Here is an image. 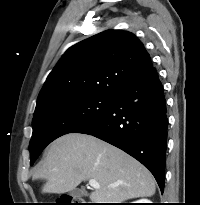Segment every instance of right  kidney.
Returning <instances> with one entry per match:
<instances>
[{"mask_svg": "<svg viewBox=\"0 0 200 205\" xmlns=\"http://www.w3.org/2000/svg\"><path fill=\"white\" fill-rule=\"evenodd\" d=\"M133 203H152V202L150 200L144 198V199H140L138 201H135Z\"/></svg>", "mask_w": 200, "mask_h": 205, "instance_id": "ca27d5eb", "label": "right kidney"}]
</instances>
